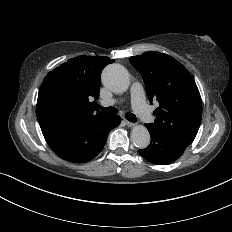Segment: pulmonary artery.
<instances>
[{
    "instance_id": "pulmonary-artery-1",
    "label": "pulmonary artery",
    "mask_w": 232,
    "mask_h": 232,
    "mask_svg": "<svg viewBox=\"0 0 232 232\" xmlns=\"http://www.w3.org/2000/svg\"><path fill=\"white\" fill-rule=\"evenodd\" d=\"M131 92V100L132 104L131 107L133 110H135L136 113H138L142 118L145 120L146 123L151 124L155 120V116L152 113V111L148 108L147 105H145V101L142 98L140 88L141 84L139 81L134 80L130 84ZM124 103L125 102V97L124 96H119L117 97H108L107 99H103L100 103L102 106H111L112 104H117V103Z\"/></svg>"
}]
</instances>
